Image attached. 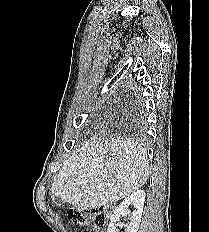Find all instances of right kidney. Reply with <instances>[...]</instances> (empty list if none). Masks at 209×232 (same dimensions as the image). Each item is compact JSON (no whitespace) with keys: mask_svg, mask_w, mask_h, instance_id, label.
Returning <instances> with one entry per match:
<instances>
[{"mask_svg":"<svg viewBox=\"0 0 209 232\" xmlns=\"http://www.w3.org/2000/svg\"><path fill=\"white\" fill-rule=\"evenodd\" d=\"M144 202V190H137L126 197L120 205L113 210L107 232H117L116 226H118L120 217L130 215V211L128 210L130 205H133L135 209L132 212V216L130 217L131 222L125 232H137L142 217Z\"/></svg>","mask_w":209,"mask_h":232,"instance_id":"ca27d5eb","label":"right kidney"}]
</instances>
